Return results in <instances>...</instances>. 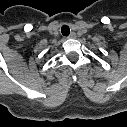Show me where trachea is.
Returning a JSON list of instances; mask_svg holds the SVG:
<instances>
[{
    "label": "trachea",
    "instance_id": "obj_1",
    "mask_svg": "<svg viewBox=\"0 0 127 127\" xmlns=\"http://www.w3.org/2000/svg\"><path fill=\"white\" fill-rule=\"evenodd\" d=\"M61 32L64 36H68L70 34V29L67 25H63L61 28Z\"/></svg>",
    "mask_w": 127,
    "mask_h": 127
}]
</instances>
